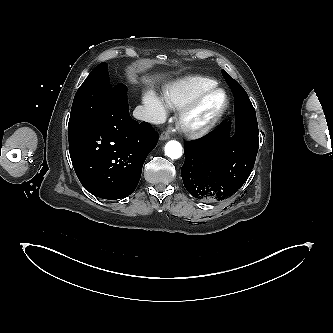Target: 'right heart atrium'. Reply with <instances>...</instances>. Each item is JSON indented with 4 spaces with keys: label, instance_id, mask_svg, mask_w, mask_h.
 Masks as SVG:
<instances>
[{
    "label": "right heart atrium",
    "instance_id": "d8ad5b80",
    "mask_svg": "<svg viewBox=\"0 0 333 333\" xmlns=\"http://www.w3.org/2000/svg\"><path fill=\"white\" fill-rule=\"evenodd\" d=\"M143 103L148 111L151 121H159L166 115V107L162 99L153 92H148L143 98Z\"/></svg>",
    "mask_w": 333,
    "mask_h": 333
}]
</instances>
